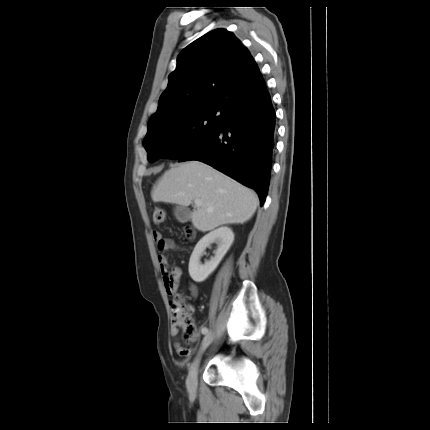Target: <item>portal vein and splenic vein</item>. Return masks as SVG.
<instances>
[{
  "label": "portal vein and splenic vein",
  "instance_id": "portal-vein-and-splenic-vein-1",
  "mask_svg": "<svg viewBox=\"0 0 430 430\" xmlns=\"http://www.w3.org/2000/svg\"><path fill=\"white\" fill-rule=\"evenodd\" d=\"M194 203H195V206H196V207H200V206H202V205H203V202H202V200H201V199H195V200H194Z\"/></svg>",
  "mask_w": 430,
  "mask_h": 430
}]
</instances>
